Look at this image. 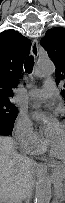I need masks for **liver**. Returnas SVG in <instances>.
Wrapping results in <instances>:
<instances>
[{"instance_id":"6515ba94","label":"liver","mask_w":65,"mask_h":203,"mask_svg":"<svg viewBox=\"0 0 65 203\" xmlns=\"http://www.w3.org/2000/svg\"><path fill=\"white\" fill-rule=\"evenodd\" d=\"M14 140L0 137V202L17 203L30 188L37 163L14 150ZM22 200V199H21Z\"/></svg>"}]
</instances>
